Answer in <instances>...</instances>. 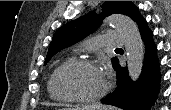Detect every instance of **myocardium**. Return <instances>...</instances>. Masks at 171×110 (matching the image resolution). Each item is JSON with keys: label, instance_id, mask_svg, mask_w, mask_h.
Wrapping results in <instances>:
<instances>
[{"label": "myocardium", "instance_id": "myocardium-1", "mask_svg": "<svg viewBox=\"0 0 171 110\" xmlns=\"http://www.w3.org/2000/svg\"><path fill=\"white\" fill-rule=\"evenodd\" d=\"M71 66H85L95 70H99V67L92 61L81 58H73L63 62L55 71L52 78L53 88L55 93L62 99L72 102H81V103H94L101 100L110 89V82L106 80V84L101 92L94 96H76L65 92L59 83V78L62 72Z\"/></svg>", "mask_w": 171, "mask_h": 110}]
</instances>
